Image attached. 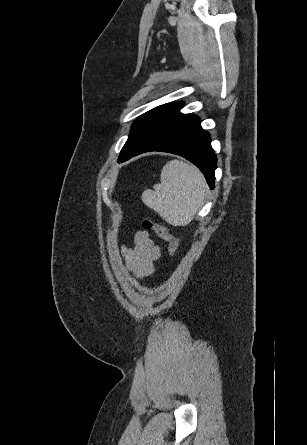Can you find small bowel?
<instances>
[{"instance_id": "1", "label": "small bowel", "mask_w": 307, "mask_h": 445, "mask_svg": "<svg viewBox=\"0 0 307 445\" xmlns=\"http://www.w3.org/2000/svg\"><path fill=\"white\" fill-rule=\"evenodd\" d=\"M122 253L128 270L137 278H144L154 272V263L160 258L161 251L145 230L138 231L134 246H123Z\"/></svg>"}]
</instances>
